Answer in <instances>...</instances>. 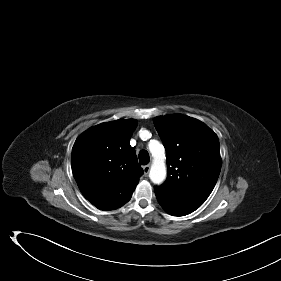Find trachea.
<instances>
[{"label": "trachea", "instance_id": "1", "mask_svg": "<svg viewBox=\"0 0 281 281\" xmlns=\"http://www.w3.org/2000/svg\"><path fill=\"white\" fill-rule=\"evenodd\" d=\"M149 153L146 150H141L139 152V162L141 165H146L149 163Z\"/></svg>", "mask_w": 281, "mask_h": 281}]
</instances>
